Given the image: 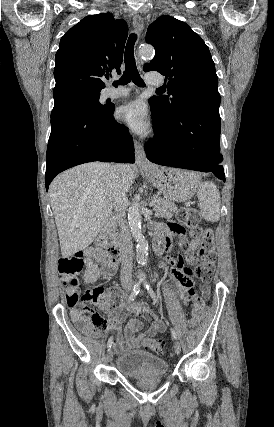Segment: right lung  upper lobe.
I'll list each match as a JSON object with an SVG mask.
<instances>
[{"mask_svg": "<svg viewBox=\"0 0 274 427\" xmlns=\"http://www.w3.org/2000/svg\"><path fill=\"white\" fill-rule=\"evenodd\" d=\"M127 35L126 22L109 12L87 16L66 32L55 57L54 105L73 95L100 93L102 78L120 72Z\"/></svg>", "mask_w": 274, "mask_h": 427, "instance_id": "cb5924a9", "label": "right lung upper lobe"}]
</instances>
